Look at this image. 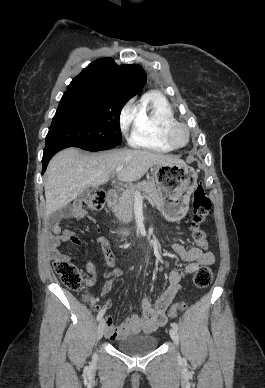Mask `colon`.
<instances>
[{
	"label": "colon",
	"instance_id": "colon-1",
	"mask_svg": "<svg viewBox=\"0 0 265 388\" xmlns=\"http://www.w3.org/2000/svg\"><path fill=\"white\" fill-rule=\"evenodd\" d=\"M106 193L98 190L83 200V205L91 212H100L104 206ZM211 208V202L205 193L202 183H199L193 194V215L191 232L194 242L200 247L207 246V235L202 229V224L206 220ZM54 269L62 283L69 289L78 291L83 286V276L81 270L74 264L66 260H58L54 263ZM213 280V270L210 266L200 267L194 274L193 283L196 288L208 287ZM185 307L184 304H174L168 310L169 317H176L178 312Z\"/></svg>",
	"mask_w": 265,
	"mask_h": 388
}]
</instances>
